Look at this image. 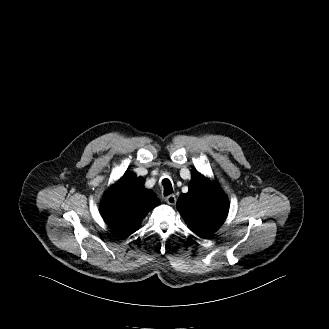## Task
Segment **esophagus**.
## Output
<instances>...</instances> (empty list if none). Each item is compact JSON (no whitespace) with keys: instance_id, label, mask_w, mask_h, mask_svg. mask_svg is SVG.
Returning <instances> with one entry per match:
<instances>
[{"instance_id":"esophagus-1","label":"esophagus","mask_w":329,"mask_h":329,"mask_svg":"<svg viewBox=\"0 0 329 329\" xmlns=\"http://www.w3.org/2000/svg\"><path fill=\"white\" fill-rule=\"evenodd\" d=\"M165 201L169 204V205H175V203H176V197H175V195H173V194H171V195H169V196H167L166 198H165Z\"/></svg>"}]
</instances>
